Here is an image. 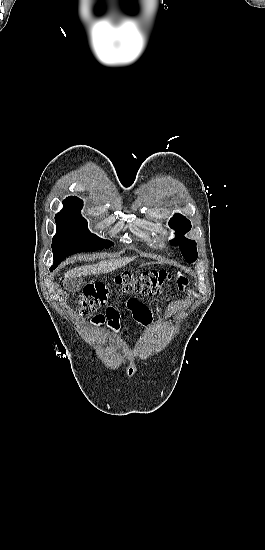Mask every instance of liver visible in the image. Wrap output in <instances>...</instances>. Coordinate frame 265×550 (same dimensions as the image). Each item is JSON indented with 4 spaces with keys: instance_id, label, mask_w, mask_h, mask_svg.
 I'll return each mask as SVG.
<instances>
[{
    "instance_id": "liver-1",
    "label": "liver",
    "mask_w": 265,
    "mask_h": 550,
    "mask_svg": "<svg viewBox=\"0 0 265 550\" xmlns=\"http://www.w3.org/2000/svg\"><path fill=\"white\" fill-rule=\"evenodd\" d=\"M134 257L116 258L99 261L96 264L76 267L64 274L65 280L80 278L82 276L105 274L114 271L133 261Z\"/></svg>"
}]
</instances>
